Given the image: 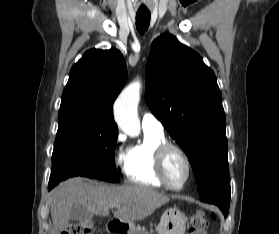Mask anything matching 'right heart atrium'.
<instances>
[{"label": "right heart atrium", "mask_w": 279, "mask_h": 234, "mask_svg": "<svg viewBox=\"0 0 279 234\" xmlns=\"http://www.w3.org/2000/svg\"><path fill=\"white\" fill-rule=\"evenodd\" d=\"M123 141V136L122 135H118L117 136V142L121 143Z\"/></svg>", "instance_id": "1"}]
</instances>
